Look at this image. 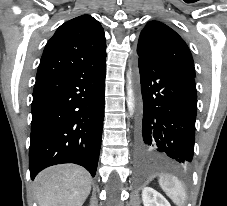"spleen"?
I'll return each mask as SVG.
<instances>
[{"mask_svg":"<svg viewBox=\"0 0 227 206\" xmlns=\"http://www.w3.org/2000/svg\"><path fill=\"white\" fill-rule=\"evenodd\" d=\"M159 185L177 206L184 205L187 194L182 182L177 177L162 175L159 179Z\"/></svg>","mask_w":227,"mask_h":206,"instance_id":"3e777b00","label":"spleen"}]
</instances>
